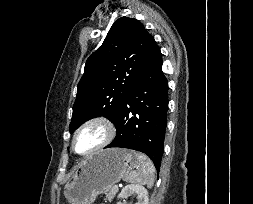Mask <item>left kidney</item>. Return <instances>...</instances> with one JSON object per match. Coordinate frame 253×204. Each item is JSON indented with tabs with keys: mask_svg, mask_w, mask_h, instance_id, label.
Listing matches in <instances>:
<instances>
[{
	"mask_svg": "<svg viewBox=\"0 0 253 204\" xmlns=\"http://www.w3.org/2000/svg\"><path fill=\"white\" fill-rule=\"evenodd\" d=\"M135 196L137 199V202L135 204H149L148 203V191L143 187L142 185L139 184H131L125 186L121 193L119 194L118 198H127L128 196ZM121 204V203H118Z\"/></svg>",
	"mask_w": 253,
	"mask_h": 204,
	"instance_id": "left-kidney-1",
	"label": "left kidney"
}]
</instances>
